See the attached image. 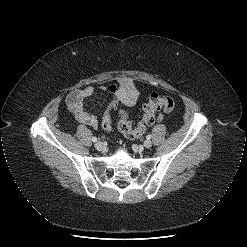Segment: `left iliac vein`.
<instances>
[{
  "label": "left iliac vein",
  "mask_w": 247,
  "mask_h": 247,
  "mask_svg": "<svg viewBox=\"0 0 247 247\" xmlns=\"http://www.w3.org/2000/svg\"><path fill=\"white\" fill-rule=\"evenodd\" d=\"M152 146V142L150 141V140H146L145 142H144V147L145 148H150Z\"/></svg>",
  "instance_id": "left-iliac-vein-1"
}]
</instances>
